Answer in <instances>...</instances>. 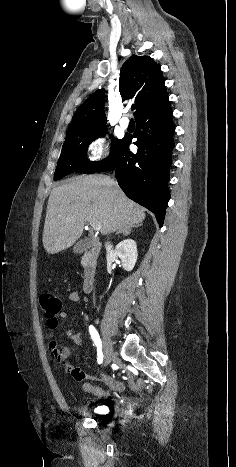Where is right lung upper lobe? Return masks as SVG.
I'll use <instances>...</instances> for the list:
<instances>
[{"label":"right lung upper lobe","mask_w":236,"mask_h":467,"mask_svg":"<svg viewBox=\"0 0 236 467\" xmlns=\"http://www.w3.org/2000/svg\"><path fill=\"white\" fill-rule=\"evenodd\" d=\"M122 100L135 99V119L167 98L160 66L147 56H131L121 67ZM104 89L95 91L76 111L67 135L106 128Z\"/></svg>","instance_id":"right-lung-upper-lobe-1"}]
</instances>
